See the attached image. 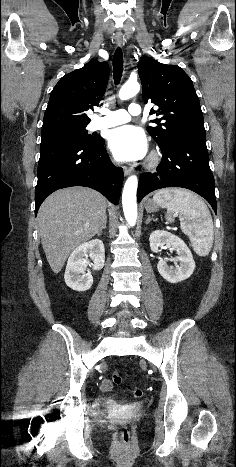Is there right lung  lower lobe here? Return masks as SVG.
<instances>
[{
  "instance_id": "1",
  "label": "right lung lower lobe",
  "mask_w": 236,
  "mask_h": 467,
  "mask_svg": "<svg viewBox=\"0 0 236 467\" xmlns=\"http://www.w3.org/2000/svg\"><path fill=\"white\" fill-rule=\"evenodd\" d=\"M104 139L92 144L62 141L40 147L35 213L52 192L70 186H85L118 204L123 170L116 168L104 148Z\"/></svg>"
}]
</instances>
